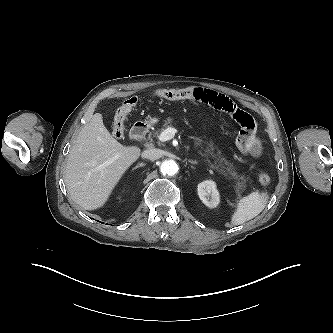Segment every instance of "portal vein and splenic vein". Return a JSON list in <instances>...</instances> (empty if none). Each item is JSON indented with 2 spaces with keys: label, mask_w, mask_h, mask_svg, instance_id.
Returning a JSON list of instances; mask_svg holds the SVG:
<instances>
[{
  "label": "portal vein and splenic vein",
  "mask_w": 333,
  "mask_h": 333,
  "mask_svg": "<svg viewBox=\"0 0 333 333\" xmlns=\"http://www.w3.org/2000/svg\"><path fill=\"white\" fill-rule=\"evenodd\" d=\"M175 133H177V129L173 128V127H169L167 129H165L160 135H159V140L161 142H165V141H168V140H171ZM117 158V156L113 157L111 161L115 160Z\"/></svg>",
  "instance_id": "obj_1"
}]
</instances>
